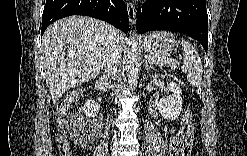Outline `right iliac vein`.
<instances>
[{"label": "right iliac vein", "mask_w": 247, "mask_h": 156, "mask_svg": "<svg viewBox=\"0 0 247 156\" xmlns=\"http://www.w3.org/2000/svg\"><path fill=\"white\" fill-rule=\"evenodd\" d=\"M119 148L118 147H115L112 151V155L113 156H117V152H118Z\"/></svg>", "instance_id": "right-iliac-vein-1"}]
</instances>
